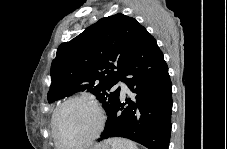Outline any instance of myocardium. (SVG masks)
Here are the masks:
<instances>
[{"label":"myocardium","mask_w":227,"mask_h":149,"mask_svg":"<svg viewBox=\"0 0 227 149\" xmlns=\"http://www.w3.org/2000/svg\"><path fill=\"white\" fill-rule=\"evenodd\" d=\"M71 103H83V104L89 105L96 112L98 121H97L95 129L87 138H85L84 140L79 141V142L65 144V143H62L58 137L57 117H58L60 111L65 106H67ZM104 125H105V114H104L103 109L100 107V105L97 102H95L94 100L87 98V97H82V96L71 97V98L63 101L61 104H59L57 106V108L55 109L53 116H52V120H51L52 136H53L55 144L57 146L70 147V148L83 147V146L90 145L92 142H94L99 137V135L101 134V132L104 128Z\"/></svg>","instance_id":"f54148a6"}]
</instances>
